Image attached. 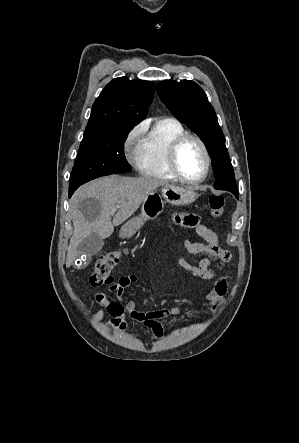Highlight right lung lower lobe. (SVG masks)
Segmentation results:
<instances>
[{
    "mask_svg": "<svg viewBox=\"0 0 299 443\" xmlns=\"http://www.w3.org/2000/svg\"><path fill=\"white\" fill-rule=\"evenodd\" d=\"M77 188H78V187L69 188V197L72 196V194L74 193V191H75Z\"/></svg>",
    "mask_w": 299,
    "mask_h": 443,
    "instance_id": "obj_1",
    "label": "right lung lower lobe"
}]
</instances>
